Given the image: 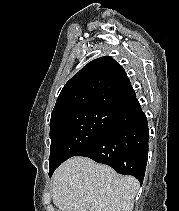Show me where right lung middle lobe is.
<instances>
[{
	"label": "right lung middle lobe",
	"mask_w": 179,
	"mask_h": 211,
	"mask_svg": "<svg viewBox=\"0 0 179 211\" xmlns=\"http://www.w3.org/2000/svg\"><path fill=\"white\" fill-rule=\"evenodd\" d=\"M117 115L115 110L88 109L50 122L49 172L99 139Z\"/></svg>",
	"instance_id": "right-lung-middle-lobe-1"
}]
</instances>
